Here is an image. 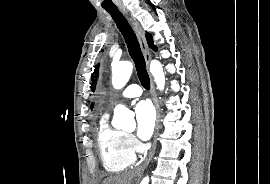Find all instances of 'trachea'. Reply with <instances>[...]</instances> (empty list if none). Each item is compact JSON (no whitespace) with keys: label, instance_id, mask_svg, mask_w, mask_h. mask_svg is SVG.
Segmentation results:
<instances>
[{"label":"trachea","instance_id":"trachea-1","mask_svg":"<svg viewBox=\"0 0 270 184\" xmlns=\"http://www.w3.org/2000/svg\"><path fill=\"white\" fill-rule=\"evenodd\" d=\"M110 15L112 16L114 22L116 23L118 29L122 33L125 42L128 47V51L130 56L132 57L135 67L137 70L138 77L142 86L146 89H150V79L148 73L146 71V64L144 56L141 52L139 42L136 38L135 33L133 32L132 28L128 24L125 17L121 14L118 9H110L108 10Z\"/></svg>","mask_w":270,"mask_h":184}]
</instances>
